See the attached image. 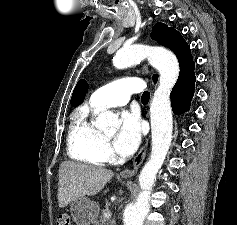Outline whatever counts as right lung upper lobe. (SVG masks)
<instances>
[{
  "label": "right lung upper lobe",
  "mask_w": 237,
  "mask_h": 225,
  "mask_svg": "<svg viewBox=\"0 0 237 225\" xmlns=\"http://www.w3.org/2000/svg\"><path fill=\"white\" fill-rule=\"evenodd\" d=\"M87 90H88V83L85 80L78 81L71 97V105L72 106L79 105L83 100Z\"/></svg>",
  "instance_id": "1"
}]
</instances>
